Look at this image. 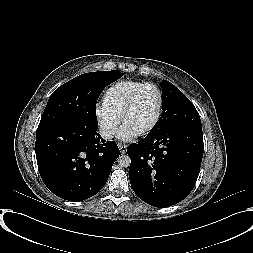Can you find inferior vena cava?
I'll use <instances>...</instances> for the list:
<instances>
[{
    "instance_id": "inferior-vena-cava-1",
    "label": "inferior vena cava",
    "mask_w": 253,
    "mask_h": 253,
    "mask_svg": "<svg viewBox=\"0 0 253 253\" xmlns=\"http://www.w3.org/2000/svg\"><path fill=\"white\" fill-rule=\"evenodd\" d=\"M101 137L105 140L112 139L116 134L115 127H101L99 130Z\"/></svg>"
}]
</instances>
